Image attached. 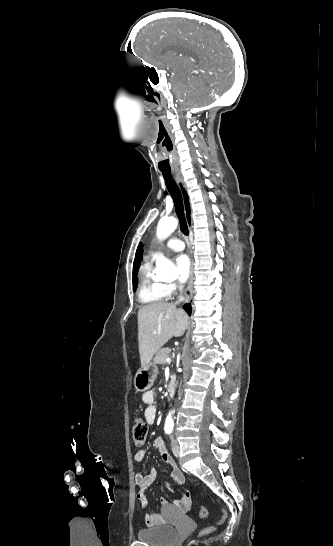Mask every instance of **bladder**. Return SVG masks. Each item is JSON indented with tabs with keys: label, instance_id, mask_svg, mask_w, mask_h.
I'll list each match as a JSON object with an SVG mask.
<instances>
[{
	"label": "bladder",
	"instance_id": "bladder-1",
	"mask_svg": "<svg viewBox=\"0 0 333 546\" xmlns=\"http://www.w3.org/2000/svg\"><path fill=\"white\" fill-rule=\"evenodd\" d=\"M138 540L150 546H172L178 539L177 529L169 525H160L140 529L137 533Z\"/></svg>",
	"mask_w": 333,
	"mask_h": 546
}]
</instances>
